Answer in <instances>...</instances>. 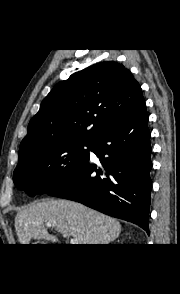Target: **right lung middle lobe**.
<instances>
[{
  "mask_svg": "<svg viewBox=\"0 0 180 294\" xmlns=\"http://www.w3.org/2000/svg\"><path fill=\"white\" fill-rule=\"evenodd\" d=\"M91 148L92 142H70L40 149L18 162L13 181L29 196L49 193L68 181L89 160Z\"/></svg>",
  "mask_w": 180,
  "mask_h": 294,
  "instance_id": "obj_1",
  "label": "right lung middle lobe"
}]
</instances>
